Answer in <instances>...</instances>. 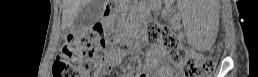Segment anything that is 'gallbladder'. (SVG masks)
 Masks as SVG:
<instances>
[{"label": "gallbladder", "instance_id": "bac80fb5", "mask_svg": "<svg viewBox=\"0 0 258 77\" xmlns=\"http://www.w3.org/2000/svg\"><path fill=\"white\" fill-rule=\"evenodd\" d=\"M102 6L100 0H90V2L84 6L75 17L71 26L72 31L77 32L82 30L99 19L102 12Z\"/></svg>", "mask_w": 258, "mask_h": 77}]
</instances>
